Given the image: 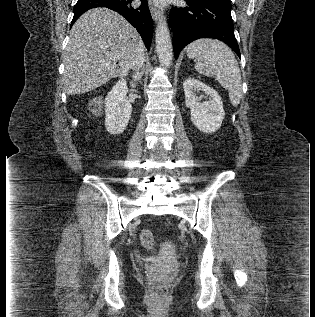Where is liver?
Masks as SVG:
<instances>
[{
  "label": "liver",
  "mask_w": 315,
  "mask_h": 317,
  "mask_svg": "<svg viewBox=\"0 0 315 317\" xmlns=\"http://www.w3.org/2000/svg\"><path fill=\"white\" fill-rule=\"evenodd\" d=\"M137 54L144 55L143 41L121 15L95 8L73 25L64 52L67 95L92 91L113 77H125Z\"/></svg>",
  "instance_id": "6515ba94"
}]
</instances>
